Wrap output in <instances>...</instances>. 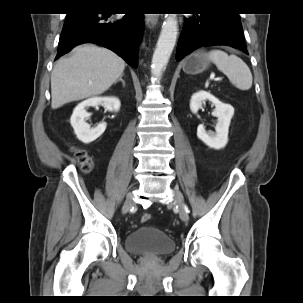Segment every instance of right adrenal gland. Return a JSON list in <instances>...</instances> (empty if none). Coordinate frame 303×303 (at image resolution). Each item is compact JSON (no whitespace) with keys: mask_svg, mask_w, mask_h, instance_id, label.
Listing matches in <instances>:
<instances>
[{"mask_svg":"<svg viewBox=\"0 0 303 303\" xmlns=\"http://www.w3.org/2000/svg\"><path fill=\"white\" fill-rule=\"evenodd\" d=\"M122 77H123V74L119 77V79L115 82V84H116L117 82L121 81V82H122V85H123V87H124V86H125V82H124V80L122 79Z\"/></svg>","mask_w":303,"mask_h":303,"instance_id":"2a0ac1e0","label":"right adrenal gland"}]
</instances>
